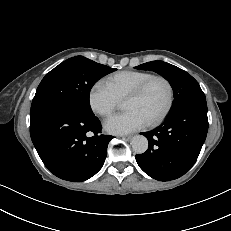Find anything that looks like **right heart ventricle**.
Returning <instances> with one entry per match:
<instances>
[{"label":"right heart ventricle","mask_w":231,"mask_h":231,"mask_svg":"<svg viewBox=\"0 0 231 231\" xmlns=\"http://www.w3.org/2000/svg\"><path fill=\"white\" fill-rule=\"evenodd\" d=\"M152 75V73L147 71H120L108 76L105 84L119 100H123Z\"/></svg>","instance_id":"right-heart-ventricle-1"}]
</instances>
